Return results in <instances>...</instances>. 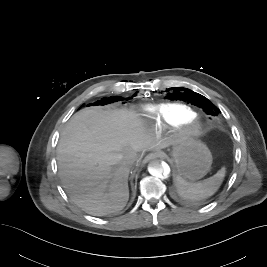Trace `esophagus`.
Here are the masks:
<instances>
[{
	"mask_svg": "<svg viewBox=\"0 0 267 267\" xmlns=\"http://www.w3.org/2000/svg\"><path fill=\"white\" fill-rule=\"evenodd\" d=\"M158 157H160L159 153H150L144 158L143 163H147L148 161L153 160Z\"/></svg>",
	"mask_w": 267,
	"mask_h": 267,
	"instance_id": "obj_1",
	"label": "esophagus"
}]
</instances>
